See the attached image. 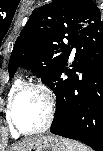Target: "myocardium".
Here are the masks:
<instances>
[{"label": "myocardium", "instance_id": "obj_1", "mask_svg": "<svg viewBox=\"0 0 103 151\" xmlns=\"http://www.w3.org/2000/svg\"><path fill=\"white\" fill-rule=\"evenodd\" d=\"M28 90H35V91L39 92L42 95V97L44 98L45 105H46V118H45L44 123L39 128L33 129V130L22 129L16 123L15 118H14V106H15L17 99L22 93H24ZM55 109H56L55 98H54V95L52 94V92L44 84L32 82V83H26V84L21 85L14 92V94L12 95V97L9 101V104H8L7 114H8V119H9V122H10L12 128L18 134L31 135V134L41 133L50 127V125L52 124V121L54 119Z\"/></svg>", "mask_w": 103, "mask_h": 151}]
</instances>
